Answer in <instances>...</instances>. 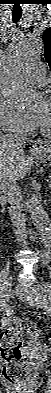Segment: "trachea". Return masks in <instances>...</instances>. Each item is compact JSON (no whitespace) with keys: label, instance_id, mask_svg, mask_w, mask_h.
Returning <instances> with one entry per match:
<instances>
[{"label":"trachea","instance_id":"1","mask_svg":"<svg viewBox=\"0 0 51 393\" xmlns=\"http://www.w3.org/2000/svg\"><path fill=\"white\" fill-rule=\"evenodd\" d=\"M21 18V14H12L13 23H17Z\"/></svg>","mask_w":51,"mask_h":393}]
</instances>
